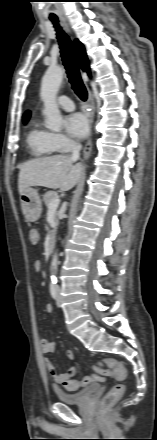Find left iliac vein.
Returning <instances> with one entry per match:
<instances>
[{
	"mask_svg": "<svg viewBox=\"0 0 157 440\" xmlns=\"http://www.w3.org/2000/svg\"><path fill=\"white\" fill-rule=\"evenodd\" d=\"M60 304H61L60 287L57 286V306H60Z\"/></svg>",
	"mask_w": 157,
	"mask_h": 440,
	"instance_id": "obj_1",
	"label": "left iliac vein"
}]
</instances>
